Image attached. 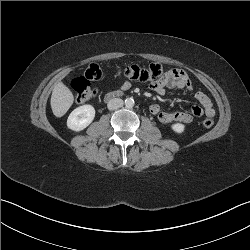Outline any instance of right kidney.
<instances>
[{
    "instance_id": "right-kidney-1",
    "label": "right kidney",
    "mask_w": 250,
    "mask_h": 250,
    "mask_svg": "<svg viewBox=\"0 0 250 250\" xmlns=\"http://www.w3.org/2000/svg\"><path fill=\"white\" fill-rule=\"evenodd\" d=\"M95 117L92 105H83L74 109L67 119V127L73 131H82L91 124Z\"/></svg>"
}]
</instances>
